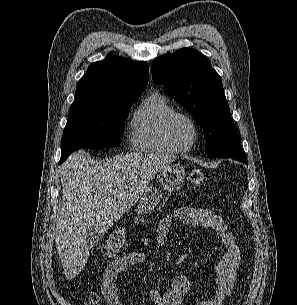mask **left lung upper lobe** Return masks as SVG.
I'll return each mask as SVG.
<instances>
[{
	"mask_svg": "<svg viewBox=\"0 0 297 305\" xmlns=\"http://www.w3.org/2000/svg\"><path fill=\"white\" fill-rule=\"evenodd\" d=\"M152 79L164 85L196 119L205 133L209 158L231 157L245 163L220 76L205 55L192 48L161 55L152 62Z\"/></svg>",
	"mask_w": 297,
	"mask_h": 305,
	"instance_id": "left-lung-upper-lobe-1",
	"label": "left lung upper lobe"
}]
</instances>
